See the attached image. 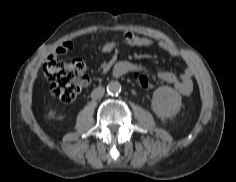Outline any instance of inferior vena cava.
I'll list each match as a JSON object with an SVG mask.
<instances>
[{"label": "inferior vena cava", "instance_id": "inferior-vena-cava-1", "mask_svg": "<svg viewBox=\"0 0 236 182\" xmlns=\"http://www.w3.org/2000/svg\"><path fill=\"white\" fill-rule=\"evenodd\" d=\"M104 93H105V88L100 86V87L95 88L92 91L91 97L93 99H100L103 97Z\"/></svg>", "mask_w": 236, "mask_h": 182}]
</instances>
